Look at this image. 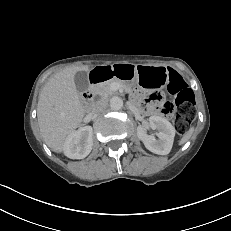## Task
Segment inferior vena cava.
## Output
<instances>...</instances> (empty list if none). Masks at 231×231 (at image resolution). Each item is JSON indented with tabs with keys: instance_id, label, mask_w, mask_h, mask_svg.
I'll use <instances>...</instances> for the list:
<instances>
[{
	"instance_id": "1",
	"label": "inferior vena cava",
	"mask_w": 231,
	"mask_h": 231,
	"mask_svg": "<svg viewBox=\"0 0 231 231\" xmlns=\"http://www.w3.org/2000/svg\"><path fill=\"white\" fill-rule=\"evenodd\" d=\"M106 108V103L103 101H99L95 104L93 110H92V114L93 115H98L99 113H101L104 109Z\"/></svg>"
}]
</instances>
